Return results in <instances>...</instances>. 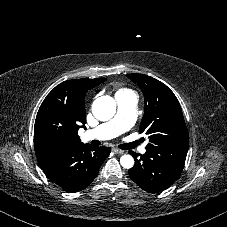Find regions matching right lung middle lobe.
<instances>
[{
    "mask_svg": "<svg viewBox=\"0 0 227 227\" xmlns=\"http://www.w3.org/2000/svg\"><path fill=\"white\" fill-rule=\"evenodd\" d=\"M43 137L50 142H60L77 135V132L68 126H60L56 123H45L42 126Z\"/></svg>",
    "mask_w": 227,
    "mask_h": 227,
    "instance_id": "obj_1",
    "label": "right lung middle lobe"
}]
</instances>
